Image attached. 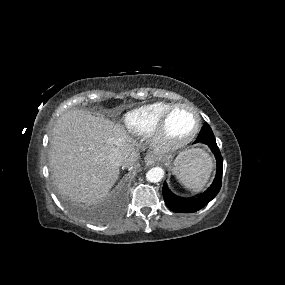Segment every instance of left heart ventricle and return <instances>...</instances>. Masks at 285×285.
Wrapping results in <instances>:
<instances>
[{
  "label": "left heart ventricle",
  "mask_w": 285,
  "mask_h": 285,
  "mask_svg": "<svg viewBox=\"0 0 285 285\" xmlns=\"http://www.w3.org/2000/svg\"><path fill=\"white\" fill-rule=\"evenodd\" d=\"M196 117L187 110H177L170 117L167 124V134L172 139L187 136L195 127Z\"/></svg>",
  "instance_id": "left-heart-ventricle-1"
}]
</instances>
